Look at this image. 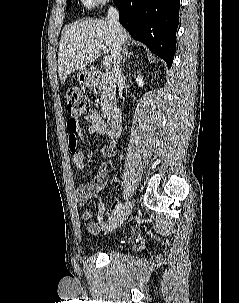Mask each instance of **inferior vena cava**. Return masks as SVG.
Wrapping results in <instances>:
<instances>
[{
    "label": "inferior vena cava",
    "mask_w": 239,
    "mask_h": 303,
    "mask_svg": "<svg viewBox=\"0 0 239 303\" xmlns=\"http://www.w3.org/2000/svg\"><path fill=\"white\" fill-rule=\"evenodd\" d=\"M108 21L114 25L116 32L118 35L122 34L123 28L119 23V12L116 7H109L107 13ZM120 61H121V46L118 47L115 53L114 60V73L117 78H121L122 73L120 69Z\"/></svg>",
    "instance_id": "obj_1"
}]
</instances>
